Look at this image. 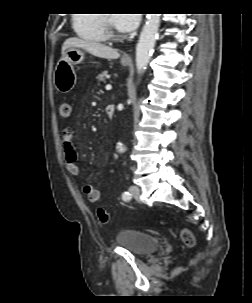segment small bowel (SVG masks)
Masks as SVG:
<instances>
[{"label": "small bowel", "mask_w": 252, "mask_h": 303, "mask_svg": "<svg viewBox=\"0 0 252 303\" xmlns=\"http://www.w3.org/2000/svg\"><path fill=\"white\" fill-rule=\"evenodd\" d=\"M62 150L66 170L73 176H78L80 171L77 165V151L73 142V133L69 128H66L62 135ZM83 191L91 203H98L101 199V191L93 184L86 183L83 186Z\"/></svg>", "instance_id": "1"}]
</instances>
